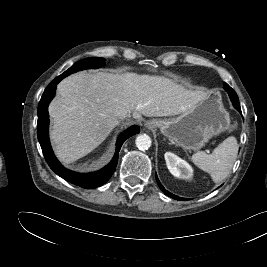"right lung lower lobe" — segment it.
Masks as SVG:
<instances>
[{"label": "right lung lower lobe", "instance_id": "98d812e1", "mask_svg": "<svg viewBox=\"0 0 267 267\" xmlns=\"http://www.w3.org/2000/svg\"><path fill=\"white\" fill-rule=\"evenodd\" d=\"M63 78L64 77L62 76L56 77L47 86L41 97L38 106V122H37L38 140L48 165L58 176L62 177L68 182H71L75 185H78L86 189L96 188L106 183L111 177V175L114 173L118 162V153L120 151L123 142L130 136L139 133L140 129L137 126H132L118 137L116 143V153L112 161L101 170L92 173L81 174L64 168L56 159L51 149L48 138V125H49L48 105L55 95L57 84Z\"/></svg>", "mask_w": 267, "mask_h": 267}]
</instances>
